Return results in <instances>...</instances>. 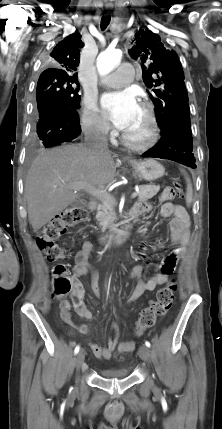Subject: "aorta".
Wrapping results in <instances>:
<instances>
[{"label":"aorta","instance_id":"obj_1","mask_svg":"<svg viewBox=\"0 0 222 429\" xmlns=\"http://www.w3.org/2000/svg\"><path fill=\"white\" fill-rule=\"evenodd\" d=\"M122 57V52L117 49H107L99 54L97 58V68L100 74H107L117 66Z\"/></svg>","mask_w":222,"mask_h":429}]
</instances>
